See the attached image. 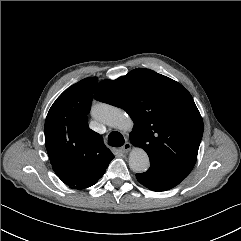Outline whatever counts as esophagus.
<instances>
[{"mask_svg": "<svg viewBox=\"0 0 241 241\" xmlns=\"http://www.w3.org/2000/svg\"><path fill=\"white\" fill-rule=\"evenodd\" d=\"M131 149V144L129 142H125V144L120 148L122 153H127Z\"/></svg>", "mask_w": 241, "mask_h": 241, "instance_id": "esophagus-1", "label": "esophagus"}]
</instances>
